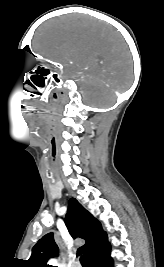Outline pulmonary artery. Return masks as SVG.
<instances>
[{"instance_id":"pulmonary-artery-1","label":"pulmonary artery","mask_w":164,"mask_h":267,"mask_svg":"<svg viewBox=\"0 0 164 267\" xmlns=\"http://www.w3.org/2000/svg\"><path fill=\"white\" fill-rule=\"evenodd\" d=\"M75 267H80V265H79V264H77V265H75Z\"/></svg>"}]
</instances>
